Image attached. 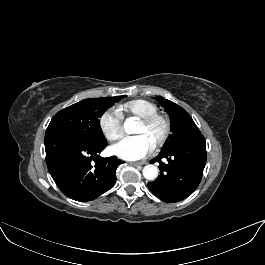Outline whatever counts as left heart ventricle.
Returning a JSON list of instances; mask_svg holds the SVG:
<instances>
[{
    "label": "left heart ventricle",
    "mask_w": 265,
    "mask_h": 265,
    "mask_svg": "<svg viewBox=\"0 0 265 265\" xmlns=\"http://www.w3.org/2000/svg\"><path fill=\"white\" fill-rule=\"evenodd\" d=\"M162 129V124L159 122L150 126H146L139 122L135 129V133L144 134L151 141V143L154 144L160 137Z\"/></svg>",
    "instance_id": "left-heart-ventricle-1"
}]
</instances>
